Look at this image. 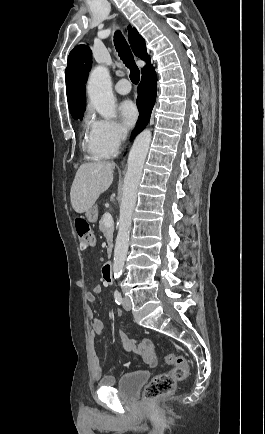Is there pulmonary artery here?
<instances>
[{
  "mask_svg": "<svg viewBox=\"0 0 265 434\" xmlns=\"http://www.w3.org/2000/svg\"><path fill=\"white\" fill-rule=\"evenodd\" d=\"M95 68V67H94ZM126 79L123 78L120 81H117V84L115 86V90L122 95H126L130 92V81H125Z\"/></svg>",
  "mask_w": 265,
  "mask_h": 434,
  "instance_id": "pulmonary-artery-1",
  "label": "pulmonary artery"
}]
</instances>
